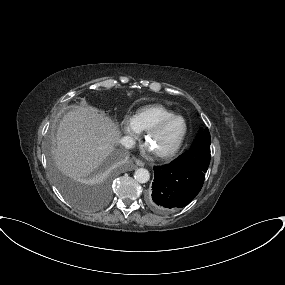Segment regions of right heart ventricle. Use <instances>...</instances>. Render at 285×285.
<instances>
[{"mask_svg":"<svg viewBox=\"0 0 285 285\" xmlns=\"http://www.w3.org/2000/svg\"><path fill=\"white\" fill-rule=\"evenodd\" d=\"M174 115V112L160 104L144 106L137 110L134 121L140 131H148L160 120Z\"/></svg>","mask_w":285,"mask_h":285,"instance_id":"e07e8e85","label":"right heart ventricle"}]
</instances>
